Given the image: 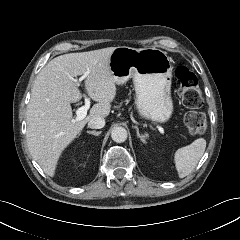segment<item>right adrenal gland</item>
<instances>
[{
	"mask_svg": "<svg viewBox=\"0 0 240 240\" xmlns=\"http://www.w3.org/2000/svg\"><path fill=\"white\" fill-rule=\"evenodd\" d=\"M88 134L98 136L101 134V131H87Z\"/></svg>",
	"mask_w": 240,
	"mask_h": 240,
	"instance_id": "obj_1",
	"label": "right adrenal gland"
}]
</instances>
